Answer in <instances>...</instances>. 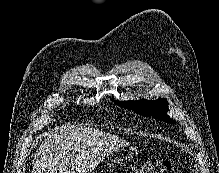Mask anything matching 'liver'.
I'll list each match as a JSON object with an SVG mask.
<instances>
[{"instance_id":"liver-1","label":"liver","mask_w":219,"mask_h":173,"mask_svg":"<svg viewBox=\"0 0 219 173\" xmlns=\"http://www.w3.org/2000/svg\"><path fill=\"white\" fill-rule=\"evenodd\" d=\"M126 145L125 140L100 130L62 126L40 144L31 173H88Z\"/></svg>"}]
</instances>
